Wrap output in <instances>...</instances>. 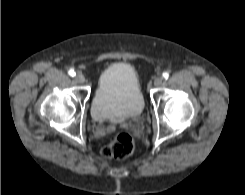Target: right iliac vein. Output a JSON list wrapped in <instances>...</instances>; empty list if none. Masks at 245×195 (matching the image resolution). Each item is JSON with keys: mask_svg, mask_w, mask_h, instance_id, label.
Segmentation results:
<instances>
[{"mask_svg": "<svg viewBox=\"0 0 245 195\" xmlns=\"http://www.w3.org/2000/svg\"><path fill=\"white\" fill-rule=\"evenodd\" d=\"M75 81L78 82V83H83L85 81L84 75L81 74V73H77L75 75Z\"/></svg>", "mask_w": 245, "mask_h": 195, "instance_id": "right-iliac-vein-1", "label": "right iliac vein"}]
</instances>
